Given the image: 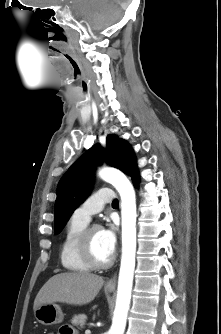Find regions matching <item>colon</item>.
Here are the masks:
<instances>
[{"label": "colon", "instance_id": "obj_1", "mask_svg": "<svg viewBox=\"0 0 221 334\" xmlns=\"http://www.w3.org/2000/svg\"><path fill=\"white\" fill-rule=\"evenodd\" d=\"M49 334H57V333H55V332H50Z\"/></svg>", "mask_w": 221, "mask_h": 334}]
</instances>
